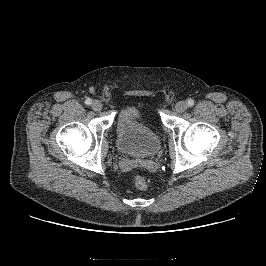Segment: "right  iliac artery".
<instances>
[{"instance_id": "1", "label": "right iliac artery", "mask_w": 266, "mask_h": 266, "mask_svg": "<svg viewBox=\"0 0 266 266\" xmlns=\"http://www.w3.org/2000/svg\"><path fill=\"white\" fill-rule=\"evenodd\" d=\"M92 103V100L90 98H87L85 100V104L90 105Z\"/></svg>"}]
</instances>
